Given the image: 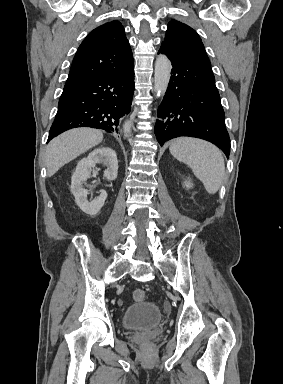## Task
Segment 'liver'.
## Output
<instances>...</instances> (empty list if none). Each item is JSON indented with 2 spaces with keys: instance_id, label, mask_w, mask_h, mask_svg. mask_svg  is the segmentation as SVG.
<instances>
[{
  "instance_id": "liver-1",
  "label": "liver",
  "mask_w": 283,
  "mask_h": 384,
  "mask_svg": "<svg viewBox=\"0 0 283 384\" xmlns=\"http://www.w3.org/2000/svg\"><path fill=\"white\" fill-rule=\"evenodd\" d=\"M103 140L101 130H92V128H75L68 130L61 136L51 140L46 150V168L47 176L51 178L59 168L75 160L80 154H84L90 148L98 146Z\"/></svg>"
}]
</instances>
